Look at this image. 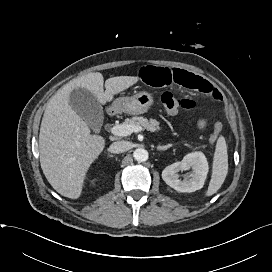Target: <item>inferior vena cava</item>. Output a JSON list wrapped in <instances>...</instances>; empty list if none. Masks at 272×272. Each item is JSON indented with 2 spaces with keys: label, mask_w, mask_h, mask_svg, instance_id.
Masks as SVG:
<instances>
[{
  "label": "inferior vena cava",
  "mask_w": 272,
  "mask_h": 272,
  "mask_svg": "<svg viewBox=\"0 0 272 272\" xmlns=\"http://www.w3.org/2000/svg\"><path fill=\"white\" fill-rule=\"evenodd\" d=\"M131 149V143L128 141H116L109 147V151L112 153H123Z\"/></svg>",
  "instance_id": "obj_1"
}]
</instances>
